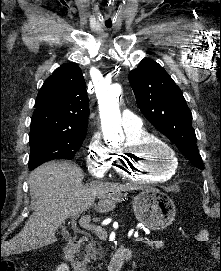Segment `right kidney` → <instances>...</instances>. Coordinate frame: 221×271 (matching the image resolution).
I'll return each instance as SVG.
<instances>
[{
    "mask_svg": "<svg viewBox=\"0 0 221 271\" xmlns=\"http://www.w3.org/2000/svg\"><path fill=\"white\" fill-rule=\"evenodd\" d=\"M55 271H70V267L68 263H60V265L56 267Z\"/></svg>",
    "mask_w": 221,
    "mask_h": 271,
    "instance_id": "right-kidney-1",
    "label": "right kidney"
}]
</instances>
